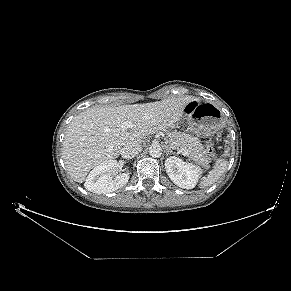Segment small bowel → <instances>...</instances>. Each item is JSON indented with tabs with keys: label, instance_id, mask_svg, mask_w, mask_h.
I'll list each match as a JSON object with an SVG mask.
<instances>
[{
	"label": "small bowel",
	"instance_id": "small-bowel-1",
	"mask_svg": "<svg viewBox=\"0 0 291 291\" xmlns=\"http://www.w3.org/2000/svg\"><path fill=\"white\" fill-rule=\"evenodd\" d=\"M196 107V102L195 101H189L185 104V111L186 112H191L195 109Z\"/></svg>",
	"mask_w": 291,
	"mask_h": 291
}]
</instances>
